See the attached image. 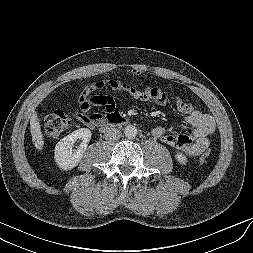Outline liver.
<instances>
[{
    "label": "liver",
    "mask_w": 253,
    "mask_h": 253,
    "mask_svg": "<svg viewBox=\"0 0 253 253\" xmlns=\"http://www.w3.org/2000/svg\"><path fill=\"white\" fill-rule=\"evenodd\" d=\"M30 131L33 144L38 151H42L44 146V139L43 133L41 131V125L36 112L32 114L30 119Z\"/></svg>",
    "instance_id": "liver-1"
}]
</instances>
